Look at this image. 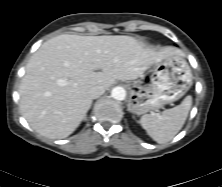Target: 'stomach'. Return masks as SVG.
<instances>
[{
    "instance_id": "1",
    "label": "stomach",
    "mask_w": 222,
    "mask_h": 187,
    "mask_svg": "<svg viewBox=\"0 0 222 187\" xmlns=\"http://www.w3.org/2000/svg\"><path fill=\"white\" fill-rule=\"evenodd\" d=\"M150 84L136 83L128 110L136 115L153 112L176 101L192 86L193 75L183 54L176 53L158 62L151 71Z\"/></svg>"
}]
</instances>
